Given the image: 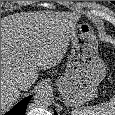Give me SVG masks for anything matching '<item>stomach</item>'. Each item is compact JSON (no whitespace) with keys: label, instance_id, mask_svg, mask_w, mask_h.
Masks as SVG:
<instances>
[{"label":"stomach","instance_id":"obj_1","mask_svg":"<svg viewBox=\"0 0 115 115\" xmlns=\"http://www.w3.org/2000/svg\"><path fill=\"white\" fill-rule=\"evenodd\" d=\"M70 39L71 54L65 75L56 85L65 104L78 107L94 99L106 75V67L98 56V42L88 23L77 24Z\"/></svg>","mask_w":115,"mask_h":115}]
</instances>
